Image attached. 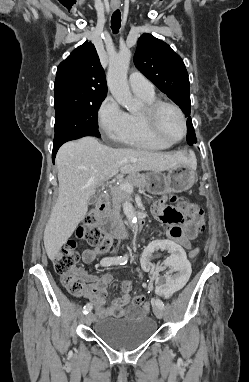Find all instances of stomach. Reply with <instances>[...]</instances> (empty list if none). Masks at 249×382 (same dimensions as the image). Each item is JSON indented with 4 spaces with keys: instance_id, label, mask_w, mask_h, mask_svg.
I'll return each mask as SVG.
<instances>
[{
    "instance_id": "0dacf381",
    "label": "stomach",
    "mask_w": 249,
    "mask_h": 382,
    "mask_svg": "<svg viewBox=\"0 0 249 382\" xmlns=\"http://www.w3.org/2000/svg\"><path fill=\"white\" fill-rule=\"evenodd\" d=\"M195 169L189 164H183L169 169L167 175L154 172L147 176L150 183L147 188L154 195L186 191L195 183Z\"/></svg>"
}]
</instances>
